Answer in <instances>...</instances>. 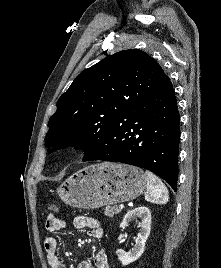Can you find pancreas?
<instances>
[{"label": "pancreas", "mask_w": 221, "mask_h": 268, "mask_svg": "<svg viewBox=\"0 0 221 268\" xmlns=\"http://www.w3.org/2000/svg\"><path fill=\"white\" fill-rule=\"evenodd\" d=\"M104 210V215L107 217H113L121 211V209H119L117 206H107Z\"/></svg>", "instance_id": "1"}]
</instances>
